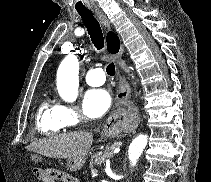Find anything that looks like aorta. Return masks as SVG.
I'll return each instance as SVG.
<instances>
[{
  "label": "aorta",
  "mask_w": 211,
  "mask_h": 182,
  "mask_svg": "<svg viewBox=\"0 0 211 182\" xmlns=\"http://www.w3.org/2000/svg\"><path fill=\"white\" fill-rule=\"evenodd\" d=\"M79 61L73 54L66 56L57 71V90L60 97L69 103L74 102L78 96ZM147 135L140 134L131 142L128 156L132 166L136 165L144 148L147 145Z\"/></svg>",
  "instance_id": "762f6f07"
}]
</instances>
